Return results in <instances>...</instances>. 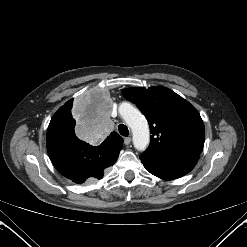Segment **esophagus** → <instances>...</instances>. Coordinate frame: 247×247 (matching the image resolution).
<instances>
[{"instance_id":"esophagus-1","label":"esophagus","mask_w":247,"mask_h":247,"mask_svg":"<svg viewBox=\"0 0 247 247\" xmlns=\"http://www.w3.org/2000/svg\"><path fill=\"white\" fill-rule=\"evenodd\" d=\"M131 141H132L131 137L124 138V144L125 145H129L131 143Z\"/></svg>"}]
</instances>
